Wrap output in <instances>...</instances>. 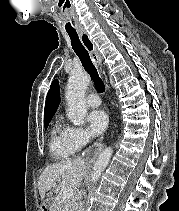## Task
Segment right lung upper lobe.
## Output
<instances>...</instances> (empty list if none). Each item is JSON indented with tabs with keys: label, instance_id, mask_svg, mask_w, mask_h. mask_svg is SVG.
I'll list each match as a JSON object with an SVG mask.
<instances>
[{
	"label": "right lung upper lobe",
	"instance_id": "cb5924a9",
	"mask_svg": "<svg viewBox=\"0 0 179 211\" xmlns=\"http://www.w3.org/2000/svg\"><path fill=\"white\" fill-rule=\"evenodd\" d=\"M60 103V92H59V82L54 80L51 84L50 90L48 91L44 119L53 117Z\"/></svg>",
	"mask_w": 179,
	"mask_h": 211
}]
</instances>
